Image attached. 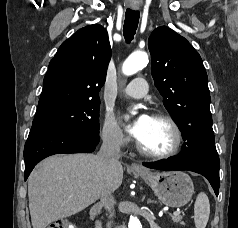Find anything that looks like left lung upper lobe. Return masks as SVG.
<instances>
[{"mask_svg": "<svg viewBox=\"0 0 238 228\" xmlns=\"http://www.w3.org/2000/svg\"><path fill=\"white\" fill-rule=\"evenodd\" d=\"M148 48L155 86L185 141L177 158L184 163L217 153L208 77L199 53L184 37L166 26L151 33Z\"/></svg>", "mask_w": 238, "mask_h": 228, "instance_id": "left-lung-upper-lobe-1", "label": "left lung upper lobe"}]
</instances>
